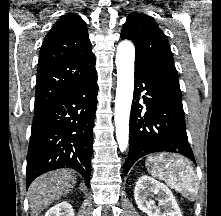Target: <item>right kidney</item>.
I'll list each match as a JSON object with an SVG mask.
<instances>
[{
    "mask_svg": "<svg viewBox=\"0 0 221 216\" xmlns=\"http://www.w3.org/2000/svg\"><path fill=\"white\" fill-rule=\"evenodd\" d=\"M45 216H74V210L71 204L64 201L51 207Z\"/></svg>",
    "mask_w": 221,
    "mask_h": 216,
    "instance_id": "obj_1",
    "label": "right kidney"
}]
</instances>
